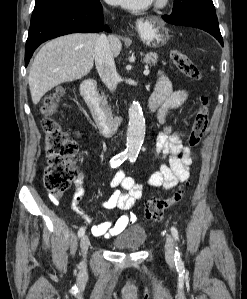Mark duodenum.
<instances>
[{"instance_id": "1", "label": "duodenum", "mask_w": 247, "mask_h": 299, "mask_svg": "<svg viewBox=\"0 0 247 299\" xmlns=\"http://www.w3.org/2000/svg\"><path fill=\"white\" fill-rule=\"evenodd\" d=\"M81 94L90 107L99 129L106 135L113 134L122 124L123 118L112 113L106 101L97 93L96 82L92 79L84 81L81 85ZM148 111L155 112L154 106L150 103Z\"/></svg>"}]
</instances>
